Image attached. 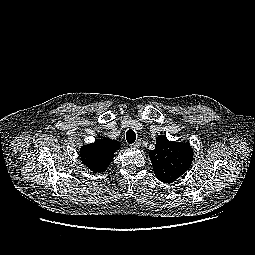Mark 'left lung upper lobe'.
<instances>
[{"label":"left lung upper lobe","mask_w":255,"mask_h":255,"mask_svg":"<svg viewBox=\"0 0 255 255\" xmlns=\"http://www.w3.org/2000/svg\"><path fill=\"white\" fill-rule=\"evenodd\" d=\"M154 173L164 183L175 181L190 167L193 151L187 142L169 141L166 136L156 138V147L149 152Z\"/></svg>","instance_id":"left-lung-upper-lobe-1"}]
</instances>
